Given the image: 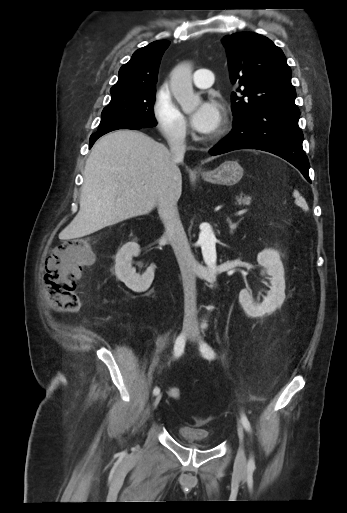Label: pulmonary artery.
<instances>
[{"mask_svg": "<svg viewBox=\"0 0 347 513\" xmlns=\"http://www.w3.org/2000/svg\"><path fill=\"white\" fill-rule=\"evenodd\" d=\"M214 81V73L208 69H198L194 72L193 82L198 88H208Z\"/></svg>", "mask_w": 347, "mask_h": 513, "instance_id": "obj_1", "label": "pulmonary artery"}]
</instances>
